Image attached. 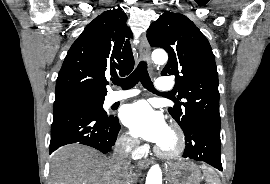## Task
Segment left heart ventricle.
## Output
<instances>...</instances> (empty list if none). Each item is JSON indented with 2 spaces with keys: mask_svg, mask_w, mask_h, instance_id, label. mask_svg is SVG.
I'll return each mask as SVG.
<instances>
[{
  "mask_svg": "<svg viewBox=\"0 0 270 184\" xmlns=\"http://www.w3.org/2000/svg\"><path fill=\"white\" fill-rule=\"evenodd\" d=\"M173 145V138L170 132H168L167 136L164 138V140L159 144L164 149H170Z\"/></svg>",
  "mask_w": 270,
  "mask_h": 184,
  "instance_id": "obj_1",
  "label": "left heart ventricle"
}]
</instances>
